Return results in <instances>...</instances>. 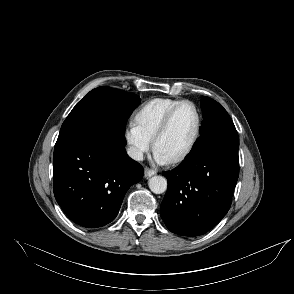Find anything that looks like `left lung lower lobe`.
Segmentation results:
<instances>
[{
    "label": "left lung lower lobe",
    "instance_id": "0a47b994",
    "mask_svg": "<svg viewBox=\"0 0 294 294\" xmlns=\"http://www.w3.org/2000/svg\"><path fill=\"white\" fill-rule=\"evenodd\" d=\"M238 148L235 128L206 133L180 166L163 173L168 189L161 217L171 232L202 235L226 215L239 176Z\"/></svg>",
    "mask_w": 294,
    "mask_h": 294
}]
</instances>
